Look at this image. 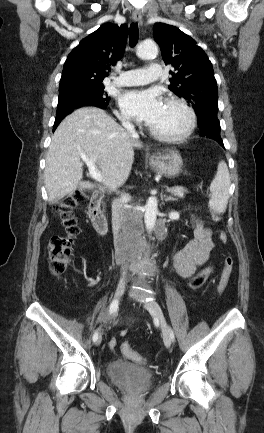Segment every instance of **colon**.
<instances>
[{
	"mask_svg": "<svg viewBox=\"0 0 264 433\" xmlns=\"http://www.w3.org/2000/svg\"><path fill=\"white\" fill-rule=\"evenodd\" d=\"M88 192L80 190L76 191L63 199L56 205V213L65 228L64 235L53 236L48 242V263L51 272L55 275L63 274L73 256L74 238L79 232L77 221L73 214V210L80 204L84 203L88 198ZM213 220L218 222L220 217L218 214H213ZM219 239L222 243H227V235L221 232ZM234 260L231 256L225 257L221 276L217 286L218 294H222L229 283L230 276L233 271ZM212 274V268L208 267L194 276L190 282L191 289L202 287ZM122 353L129 359L142 363L144 358L134 351L128 342H123L121 345Z\"/></svg>",
	"mask_w": 264,
	"mask_h": 433,
	"instance_id": "colon-1",
	"label": "colon"
}]
</instances>
